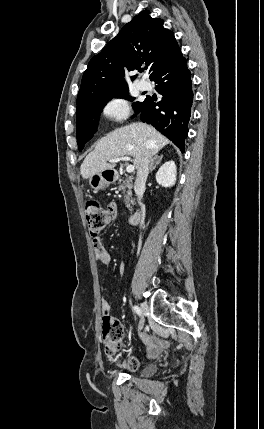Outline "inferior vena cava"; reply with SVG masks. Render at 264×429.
<instances>
[{
  "label": "inferior vena cava",
  "instance_id": "602c4592",
  "mask_svg": "<svg viewBox=\"0 0 264 429\" xmlns=\"http://www.w3.org/2000/svg\"><path fill=\"white\" fill-rule=\"evenodd\" d=\"M150 160L151 156L149 154H145L137 168V177L135 180L134 191L139 204L143 198L145 183L149 173L148 169Z\"/></svg>",
  "mask_w": 264,
  "mask_h": 429
}]
</instances>
